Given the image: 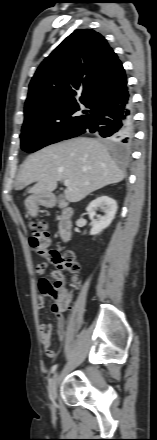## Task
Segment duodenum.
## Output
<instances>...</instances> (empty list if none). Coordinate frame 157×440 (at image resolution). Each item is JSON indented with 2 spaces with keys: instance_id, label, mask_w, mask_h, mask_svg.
Listing matches in <instances>:
<instances>
[{
  "instance_id": "1",
  "label": "duodenum",
  "mask_w": 157,
  "mask_h": 440,
  "mask_svg": "<svg viewBox=\"0 0 157 440\" xmlns=\"http://www.w3.org/2000/svg\"><path fill=\"white\" fill-rule=\"evenodd\" d=\"M43 202L51 203L50 197H44ZM73 209L70 206L62 205L61 215L58 221V233L63 241H68L72 234Z\"/></svg>"
}]
</instances>
